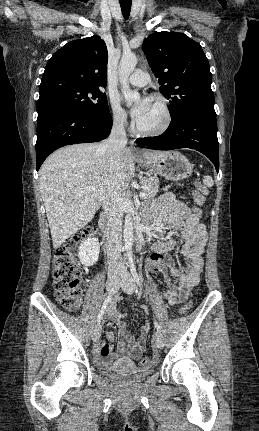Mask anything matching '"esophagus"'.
Masks as SVG:
<instances>
[{
	"mask_svg": "<svg viewBox=\"0 0 259 431\" xmlns=\"http://www.w3.org/2000/svg\"><path fill=\"white\" fill-rule=\"evenodd\" d=\"M131 151L134 156H139L138 146L134 141L131 142Z\"/></svg>",
	"mask_w": 259,
	"mask_h": 431,
	"instance_id": "34e87169",
	"label": "esophagus"
}]
</instances>
